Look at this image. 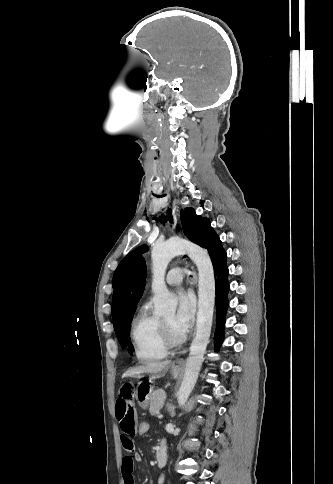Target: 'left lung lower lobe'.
Returning a JSON list of instances; mask_svg holds the SVG:
<instances>
[{
	"label": "left lung lower lobe",
	"instance_id": "left-lung-lower-lobe-1",
	"mask_svg": "<svg viewBox=\"0 0 333 484\" xmlns=\"http://www.w3.org/2000/svg\"><path fill=\"white\" fill-rule=\"evenodd\" d=\"M206 248L214 267L215 288H216V331L214 336L215 350H218L223 342L225 315L228 308L227 293L230 289L228 283V268L226 265L227 255L222 247V243L215 233L210 223L206 226L202 243Z\"/></svg>",
	"mask_w": 333,
	"mask_h": 484
}]
</instances>
